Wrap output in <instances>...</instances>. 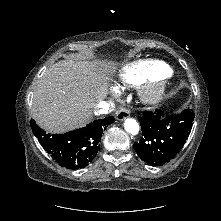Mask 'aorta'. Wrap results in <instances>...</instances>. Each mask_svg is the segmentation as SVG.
<instances>
[{"label": "aorta", "mask_w": 221, "mask_h": 221, "mask_svg": "<svg viewBox=\"0 0 221 221\" xmlns=\"http://www.w3.org/2000/svg\"><path fill=\"white\" fill-rule=\"evenodd\" d=\"M124 128L128 133H130L132 135H136L139 132V124L133 118H128L125 120Z\"/></svg>", "instance_id": "762f6f07"}]
</instances>
